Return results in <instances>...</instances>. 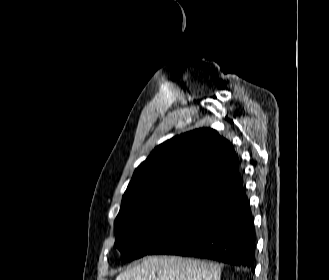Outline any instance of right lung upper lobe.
<instances>
[{
    "mask_svg": "<svg viewBox=\"0 0 329 280\" xmlns=\"http://www.w3.org/2000/svg\"><path fill=\"white\" fill-rule=\"evenodd\" d=\"M233 145L211 128L196 129L157 146L135 170L122 204L191 195L204 198L238 173Z\"/></svg>",
    "mask_w": 329,
    "mask_h": 280,
    "instance_id": "cb5924a9",
    "label": "right lung upper lobe"
}]
</instances>
